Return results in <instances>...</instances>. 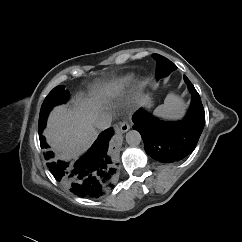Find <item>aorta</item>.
Returning <instances> with one entry per match:
<instances>
[{"label": "aorta", "instance_id": "1", "mask_svg": "<svg viewBox=\"0 0 242 242\" xmlns=\"http://www.w3.org/2000/svg\"><path fill=\"white\" fill-rule=\"evenodd\" d=\"M142 141L141 134L137 130H130L126 133V142L128 145L135 147Z\"/></svg>", "mask_w": 242, "mask_h": 242}]
</instances>
